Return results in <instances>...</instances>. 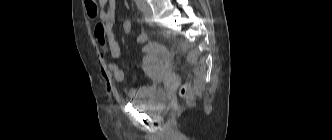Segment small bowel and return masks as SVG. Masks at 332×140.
Instances as JSON below:
<instances>
[{"label":"small bowel","mask_w":332,"mask_h":140,"mask_svg":"<svg viewBox=\"0 0 332 140\" xmlns=\"http://www.w3.org/2000/svg\"><path fill=\"white\" fill-rule=\"evenodd\" d=\"M101 10L98 14L99 21L94 27V36L102 48L103 53L110 55L112 61L102 65V75L106 81L109 91H114V83H122L125 79V73L117 63L121 55L119 43L117 41L114 25L116 15V1L115 0H99ZM147 41V35L140 33L136 42L144 44ZM151 44H145L142 47V52L148 53L152 50ZM147 86H140L130 88L127 92L129 98H137L142 96L146 91Z\"/></svg>","instance_id":"obj_1"}]
</instances>
